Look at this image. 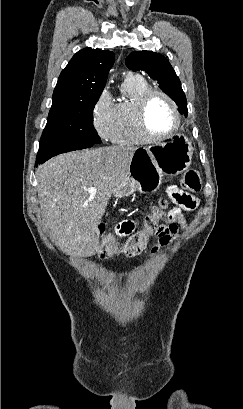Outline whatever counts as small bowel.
<instances>
[{"label": "small bowel", "instance_id": "small-bowel-1", "mask_svg": "<svg viewBox=\"0 0 243 409\" xmlns=\"http://www.w3.org/2000/svg\"><path fill=\"white\" fill-rule=\"evenodd\" d=\"M167 193L170 199L176 203V206L168 212L163 223L167 228V232L162 237H158L157 244L151 249L152 254L156 253L159 248L168 246L178 236L179 230L186 226L184 211L194 210L198 205V200L195 196L184 193L175 186L169 187ZM179 197L184 199L185 203L179 202Z\"/></svg>", "mask_w": 243, "mask_h": 409}]
</instances>
